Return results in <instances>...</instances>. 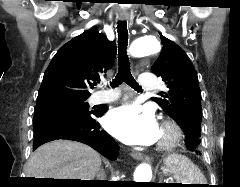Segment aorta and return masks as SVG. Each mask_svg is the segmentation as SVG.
Wrapping results in <instances>:
<instances>
[{"mask_svg":"<svg viewBox=\"0 0 240 187\" xmlns=\"http://www.w3.org/2000/svg\"><path fill=\"white\" fill-rule=\"evenodd\" d=\"M160 43L154 36L146 35L133 41L130 53L134 57H144L160 51ZM134 182H150L152 170L148 164H140L134 172Z\"/></svg>","mask_w":240,"mask_h":187,"instance_id":"aorta-1","label":"aorta"}]
</instances>
